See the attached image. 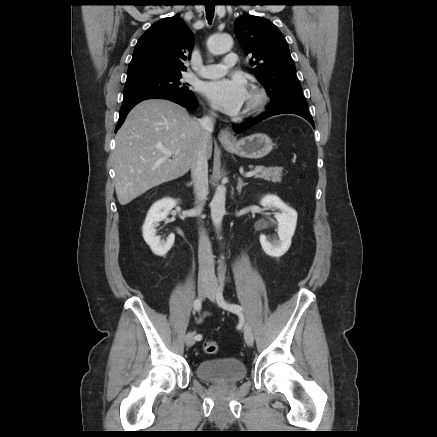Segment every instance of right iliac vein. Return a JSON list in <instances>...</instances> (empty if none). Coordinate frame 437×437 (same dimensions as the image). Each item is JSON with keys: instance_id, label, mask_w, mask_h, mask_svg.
I'll use <instances>...</instances> for the list:
<instances>
[{"instance_id": "right-iliac-vein-1", "label": "right iliac vein", "mask_w": 437, "mask_h": 437, "mask_svg": "<svg viewBox=\"0 0 437 437\" xmlns=\"http://www.w3.org/2000/svg\"><path fill=\"white\" fill-rule=\"evenodd\" d=\"M210 292V287L207 284H200L198 286V294L201 298H204ZM186 346L191 347L195 344V334L193 332L187 333L185 337Z\"/></svg>"}]
</instances>
